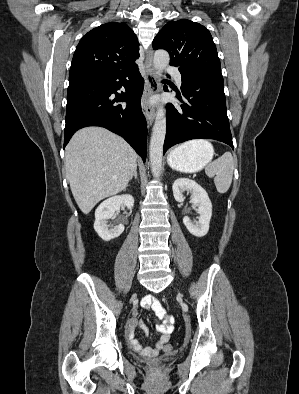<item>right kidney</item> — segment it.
<instances>
[{
  "label": "right kidney",
  "mask_w": 299,
  "mask_h": 394,
  "mask_svg": "<svg viewBox=\"0 0 299 394\" xmlns=\"http://www.w3.org/2000/svg\"><path fill=\"white\" fill-rule=\"evenodd\" d=\"M132 209L134 206V198L132 195H118L103 201L95 211L94 229L104 241H110L119 237L124 231V225L119 224L109 229L107 220L111 219L115 211L121 206Z\"/></svg>",
  "instance_id": "1"
}]
</instances>
